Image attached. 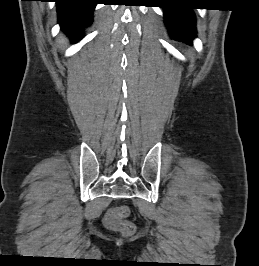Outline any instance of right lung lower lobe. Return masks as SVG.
<instances>
[{
  "instance_id": "obj_1",
  "label": "right lung lower lobe",
  "mask_w": 259,
  "mask_h": 266,
  "mask_svg": "<svg viewBox=\"0 0 259 266\" xmlns=\"http://www.w3.org/2000/svg\"><path fill=\"white\" fill-rule=\"evenodd\" d=\"M61 28L72 39L80 36V29L92 21L98 0H56Z\"/></svg>"
}]
</instances>
